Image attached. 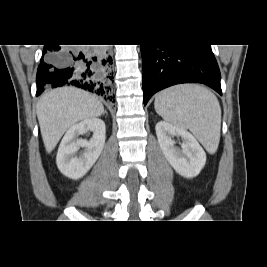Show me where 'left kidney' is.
<instances>
[{
  "label": "left kidney",
  "instance_id": "5707ae66",
  "mask_svg": "<svg viewBox=\"0 0 267 267\" xmlns=\"http://www.w3.org/2000/svg\"><path fill=\"white\" fill-rule=\"evenodd\" d=\"M160 148L174 170L183 177H196L206 163V154L195 137L185 129L160 121L155 127ZM174 137H181V149Z\"/></svg>",
  "mask_w": 267,
  "mask_h": 267
}]
</instances>
